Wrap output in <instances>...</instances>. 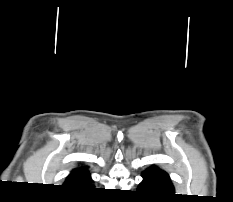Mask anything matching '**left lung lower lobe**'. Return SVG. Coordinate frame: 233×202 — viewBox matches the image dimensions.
Listing matches in <instances>:
<instances>
[{"label":"left lung lower lobe","instance_id":"obj_1","mask_svg":"<svg viewBox=\"0 0 233 202\" xmlns=\"http://www.w3.org/2000/svg\"><path fill=\"white\" fill-rule=\"evenodd\" d=\"M143 181L138 186L140 193L148 201L167 202L174 198V187L167 173L154 166L142 173Z\"/></svg>","mask_w":233,"mask_h":202}]
</instances>
